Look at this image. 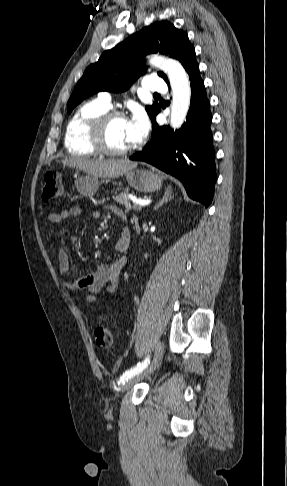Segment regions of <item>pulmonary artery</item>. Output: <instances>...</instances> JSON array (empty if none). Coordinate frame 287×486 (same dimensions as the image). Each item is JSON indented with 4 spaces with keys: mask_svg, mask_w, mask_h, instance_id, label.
<instances>
[{
    "mask_svg": "<svg viewBox=\"0 0 287 486\" xmlns=\"http://www.w3.org/2000/svg\"><path fill=\"white\" fill-rule=\"evenodd\" d=\"M143 88L148 92H166L167 90L165 82L157 76L146 77L143 81ZM98 99L108 106L111 105V97L106 92L100 93Z\"/></svg>",
    "mask_w": 287,
    "mask_h": 486,
    "instance_id": "obj_1",
    "label": "pulmonary artery"
}]
</instances>
